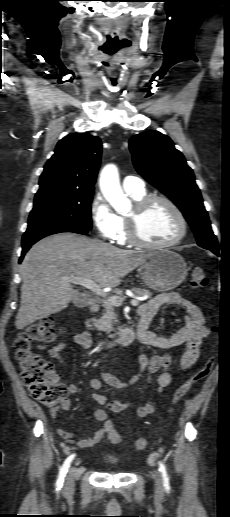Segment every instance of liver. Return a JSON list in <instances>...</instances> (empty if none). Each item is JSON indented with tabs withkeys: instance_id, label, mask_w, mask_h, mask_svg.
I'll return each mask as SVG.
<instances>
[{
	"instance_id": "1",
	"label": "liver",
	"mask_w": 230,
	"mask_h": 517,
	"mask_svg": "<svg viewBox=\"0 0 230 517\" xmlns=\"http://www.w3.org/2000/svg\"><path fill=\"white\" fill-rule=\"evenodd\" d=\"M149 254L71 233L40 240L27 252L21 265L23 283L16 328L21 330L75 301L79 290L66 278H89L100 287H117Z\"/></svg>"
}]
</instances>
